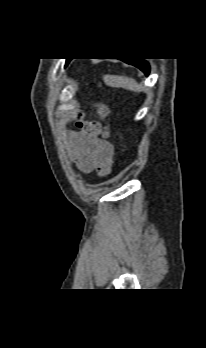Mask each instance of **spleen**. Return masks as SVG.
I'll return each instance as SVG.
<instances>
[{
    "instance_id": "obj_1",
    "label": "spleen",
    "mask_w": 206,
    "mask_h": 348,
    "mask_svg": "<svg viewBox=\"0 0 206 348\" xmlns=\"http://www.w3.org/2000/svg\"><path fill=\"white\" fill-rule=\"evenodd\" d=\"M104 82L110 87L141 91V86L133 78L126 76L106 75L104 76Z\"/></svg>"
}]
</instances>
